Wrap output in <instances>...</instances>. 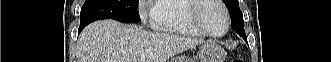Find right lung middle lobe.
I'll use <instances>...</instances> for the list:
<instances>
[{
  "label": "right lung middle lobe",
  "instance_id": "1",
  "mask_svg": "<svg viewBox=\"0 0 331 62\" xmlns=\"http://www.w3.org/2000/svg\"><path fill=\"white\" fill-rule=\"evenodd\" d=\"M137 5V0H85L81 8L79 30L100 19H115L122 23L139 22Z\"/></svg>",
  "mask_w": 331,
  "mask_h": 62
}]
</instances>
